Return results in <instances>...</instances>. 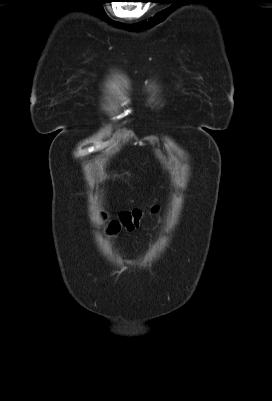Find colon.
I'll return each mask as SVG.
<instances>
[{
    "label": "colon",
    "instance_id": "obj_1",
    "mask_svg": "<svg viewBox=\"0 0 272 401\" xmlns=\"http://www.w3.org/2000/svg\"><path fill=\"white\" fill-rule=\"evenodd\" d=\"M143 215V212L140 210L122 212L119 214L118 218L109 222L108 230L111 233H117L120 230L132 231L139 227Z\"/></svg>",
    "mask_w": 272,
    "mask_h": 401
}]
</instances>
